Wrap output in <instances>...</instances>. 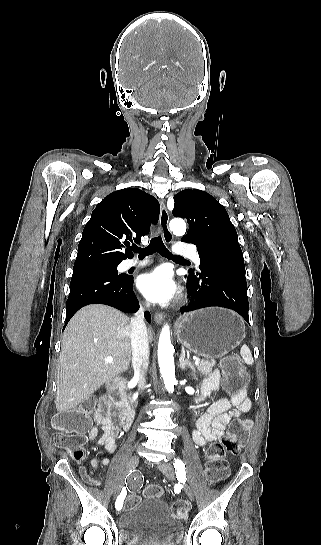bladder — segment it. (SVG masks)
Masks as SVG:
<instances>
[{
  "label": "bladder",
  "instance_id": "obj_1",
  "mask_svg": "<svg viewBox=\"0 0 321 545\" xmlns=\"http://www.w3.org/2000/svg\"><path fill=\"white\" fill-rule=\"evenodd\" d=\"M119 535L127 545H178L183 523L172 516L160 497H148L118 515Z\"/></svg>",
  "mask_w": 321,
  "mask_h": 545
}]
</instances>
